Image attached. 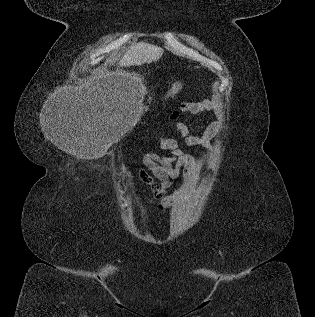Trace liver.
<instances>
[{
	"mask_svg": "<svg viewBox=\"0 0 315 317\" xmlns=\"http://www.w3.org/2000/svg\"><path fill=\"white\" fill-rule=\"evenodd\" d=\"M164 53L160 47L153 45H135L131 47L119 62V66L130 67L140 66L158 61ZM123 99L127 98V92L124 91Z\"/></svg>",
	"mask_w": 315,
	"mask_h": 317,
	"instance_id": "1",
	"label": "liver"
}]
</instances>
